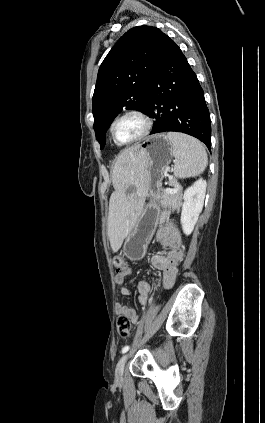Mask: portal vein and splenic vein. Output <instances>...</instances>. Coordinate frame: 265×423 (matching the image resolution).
<instances>
[{"label":"portal vein and splenic vein","mask_w":265,"mask_h":423,"mask_svg":"<svg viewBox=\"0 0 265 423\" xmlns=\"http://www.w3.org/2000/svg\"><path fill=\"white\" fill-rule=\"evenodd\" d=\"M167 191H169L170 193H176V192H177V188H174V189H167Z\"/></svg>","instance_id":"1"}]
</instances>
